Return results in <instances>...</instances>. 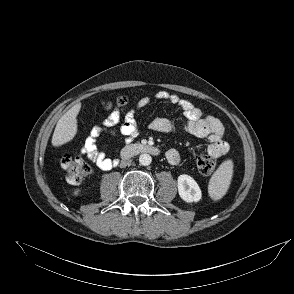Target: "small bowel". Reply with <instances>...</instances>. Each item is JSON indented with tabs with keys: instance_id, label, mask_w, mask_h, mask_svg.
<instances>
[{
	"instance_id": "obj_1",
	"label": "small bowel",
	"mask_w": 294,
	"mask_h": 294,
	"mask_svg": "<svg viewBox=\"0 0 294 294\" xmlns=\"http://www.w3.org/2000/svg\"><path fill=\"white\" fill-rule=\"evenodd\" d=\"M153 101H165L179 106L183 111L185 120L177 125L167 118L156 117L149 123L151 130L160 133L183 130L194 136L207 138L210 142L207 152L215 158L229 152V144L225 140V128L220 120L213 115L204 114L200 108L190 101L168 91H159L152 97L141 98L136 103L135 108L125 115L124 121L119 127V132L126 137L125 142H130L140 132L135 118V111L151 104ZM119 119V112L113 111L103 120L101 126H95L91 129L82 146V153L102 170H110L118 164L117 159L106 157L105 153L99 149L98 142L102 134H116L115 126L119 123ZM166 159L169 164L177 166L181 161V156L178 150L170 149L166 152Z\"/></svg>"
}]
</instances>
